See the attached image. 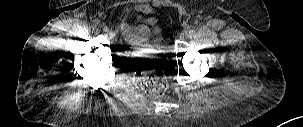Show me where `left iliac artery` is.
<instances>
[{"mask_svg":"<svg viewBox=\"0 0 303 127\" xmlns=\"http://www.w3.org/2000/svg\"><path fill=\"white\" fill-rule=\"evenodd\" d=\"M194 33H195V30H193V29H190V30L186 31V34H187L189 37H192V36L194 35Z\"/></svg>","mask_w":303,"mask_h":127,"instance_id":"44dca946","label":"left iliac artery"}]
</instances>
